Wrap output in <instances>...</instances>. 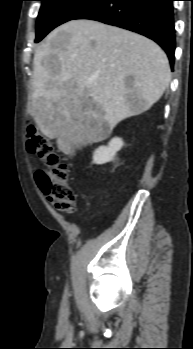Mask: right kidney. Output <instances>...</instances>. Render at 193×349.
Listing matches in <instances>:
<instances>
[{
	"label": "right kidney",
	"instance_id": "obj_1",
	"mask_svg": "<svg viewBox=\"0 0 193 349\" xmlns=\"http://www.w3.org/2000/svg\"><path fill=\"white\" fill-rule=\"evenodd\" d=\"M123 141L121 138L115 137L108 146H100L93 154V163L101 165L114 159L116 153L122 148Z\"/></svg>",
	"mask_w": 193,
	"mask_h": 349
}]
</instances>
